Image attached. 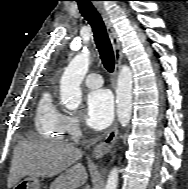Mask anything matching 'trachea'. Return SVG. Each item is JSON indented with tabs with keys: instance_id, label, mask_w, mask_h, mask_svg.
Listing matches in <instances>:
<instances>
[{
	"instance_id": "obj_1",
	"label": "trachea",
	"mask_w": 188,
	"mask_h": 189,
	"mask_svg": "<svg viewBox=\"0 0 188 189\" xmlns=\"http://www.w3.org/2000/svg\"><path fill=\"white\" fill-rule=\"evenodd\" d=\"M82 16L92 27L94 40L105 69L112 73L115 66V56L104 22L91 3L92 0H76Z\"/></svg>"
}]
</instances>
